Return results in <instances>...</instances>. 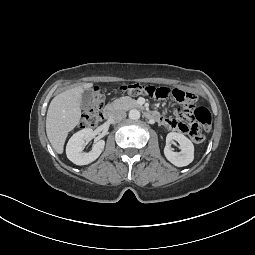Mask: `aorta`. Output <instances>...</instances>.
<instances>
[{
  "label": "aorta",
  "instance_id": "aorta-1",
  "mask_svg": "<svg viewBox=\"0 0 255 255\" xmlns=\"http://www.w3.org/2000/svg\"><path fill=\"white\" fill-rule=\"evenodd\" d=\"M129 118L132 120H137L140 118V112L137 109H132L129 111Z\"/></svg>",
  "mask_w": 255,
  "mask_h": 255
}]
</instances>
